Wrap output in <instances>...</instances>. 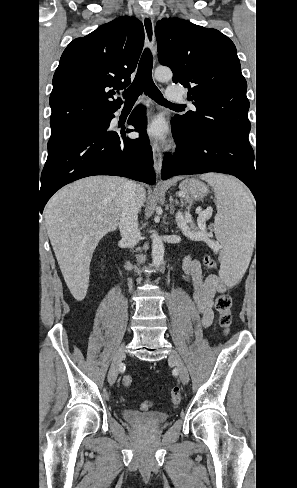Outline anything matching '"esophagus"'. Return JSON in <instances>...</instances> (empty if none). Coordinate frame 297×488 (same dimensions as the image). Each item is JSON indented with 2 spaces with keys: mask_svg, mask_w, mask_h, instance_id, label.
I'll use <instances>...</instances> for the list:
<instances>
[{
  "mask_svg": "<svg viewBox=\"0 0 297 488\" xmlns=\"http://www.w3.org/2000/svg\"><path fill=\"white\" fill-rule=\"evenodd\" d=\"M144 32H145V39L146 45L148 48L155 52V34H154V20L153 17L146 13L142 20ZM152 151H153V161H154V169L157 174H160L162 169V152L160 146L156 141L152 143Z\"/></svg>",
  "mask_w": 297,
  "mask_h": 488,
  "instance_id": "34e87169",
  "label": "esophagus"
}]
</instances>
